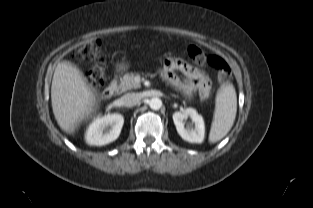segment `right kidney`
Listing matches in <instances>:
<instances>
[{"instance_id":"ca27d5eb","label":"right kidney","mask_w":313,"mask_h":208,"mask_svg":"<svg viewBox=\"0 0 313 208\" xmlns=\"http://www.w3.org/2000/svg\"><path fill=\"white\" fill-rule=\"evenodd\" d=\"M123 124L124 117L118 113L98 117L90 124L86 140L95 146L109 144L119 137Z\"/></svg>"}]
</instances>
